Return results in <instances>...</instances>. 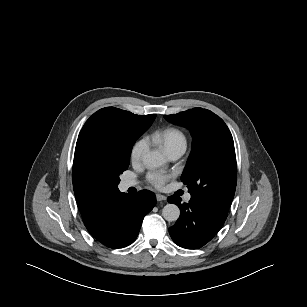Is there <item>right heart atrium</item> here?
Instances as JSON below:
<instances>
[{
    "mask_svg": "<svg viewBox=\"0 0 307 307\" xmlns=\"http://www.w3.org/2000/svg\"><path fill=\"white\" fill-rule=\"evenodd\" d=\"M148 148V141L145 138L139 139L133 145L130 152V159L132 162H139Z\"/></svg>",
    "mask_w": 307,
    "mask_h": 307,
    "instance_id": "1",
    "label": "right heart atrium"
}]
</instances>
